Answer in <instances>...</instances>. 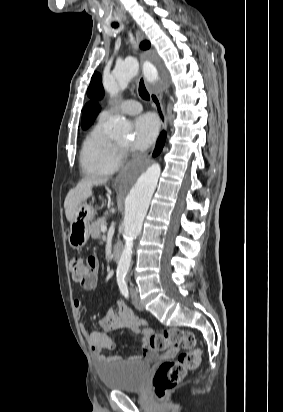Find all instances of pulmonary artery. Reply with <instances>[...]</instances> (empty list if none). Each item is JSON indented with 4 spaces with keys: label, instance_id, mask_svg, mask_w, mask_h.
I'll list each match as a JSON object with an SVG mask.
<instances>
[{
    "label": "pulmonary artery",
    "instance_id": "obj_1",
    "mask_svg": "<svg viewBox=\"0 0 283 412\" xmlns=\"http://www.w3.org/2000/svg\"><path fill=\"white\" fill-rule=\"evenodd\" d=\"M142 110V106L138 101L135 100H125L116 108H109L105 109L100 113L99 120L106 121L108 120L114 113L120 112L126 115H135L140 113Z\"/></svg>",
    "mask_w": 283,
    "mask_h": 412
}]
</instances>
